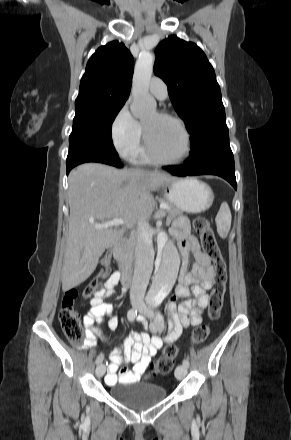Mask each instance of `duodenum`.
Returning <instances> with one entry per match:
<instances>
[{"label":"duodenum","instance_id":"obj_1","mask_svg":"<svg viewBox=\"0 0 291 440\" xmlns=\"http://www.w3.org/2000/svg\"><path fill=\"white\" fill-rule=\"evenodd\" d=\"M122 240L123 238L121 236H117L114 240L113 248L116 249L117 251L116 261L122 274V281L124 285H129L131 282V271H130L129 263L126 257L119 250Z\"/></svg>","mask_w":291,"mask_h":440}]
</instances>
